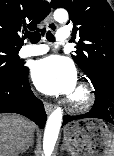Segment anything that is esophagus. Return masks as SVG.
Returning a JSON list of instances; mask_svg holds the SVG:
<instances>
[{
  "label": "esophagus",
  "mask_w": 114,
  "mask_h": 156,
  "mask_svg": "<svg viewBox=\"0 0 114 156\" xmlns=\"http://www.w3.org/2000/svg\"><path fill=\"white\" fill-rule=\"evenodd\" d=\"M47 27L52 32H54V31L57 30V25L54 22L51 14L48 16V24H47ZM44 108H45L46 113L47 114H50L52 112V110H53V105L51 103L44 102Z\"/></svg>",
  "instance_id": "1"
}]
</instances>
